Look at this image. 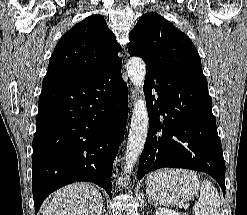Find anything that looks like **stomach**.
Wrapping results in <instances>:
<instances>
[{
	"instance_id": "1",
	"label": "stomach",
	"mask_w": 247,
	"mask_h": 215,
	"mask_svg": "<svg viewBox=\"0 0 247 215\" xmlns=\"http://www.w3.org/2000/svg\"><path fill=\"white\" fill-rule=\"evenodd\" d=\"M196 173L188 170H163L147 179V192L159 204H183L196 196L199 189Z\"/></svg>"
}]
</instances>
